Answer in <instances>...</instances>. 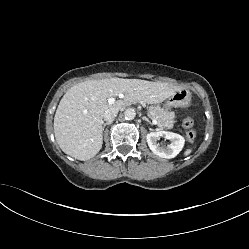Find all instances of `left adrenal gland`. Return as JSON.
I'll return each mask as SVG.
<instances>
[{"instance_id":"obj_1","label":"left adrenal gland","mask_w":249,"mask_h":249,"mask_svg":"<svg viewBox=\"0 0 249 249\" xmlns=\"http://www.w3.org/2000/svg\"><path fill=\"white\" fill-rule=\"evenodd\" d=\"M143 120H145L146 122L152 125L151 121L147 117H143Z\"/></svg>"}]
</instances>
